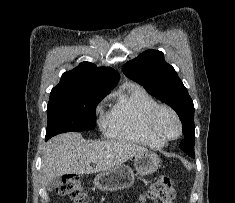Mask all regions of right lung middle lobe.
<instances>
[{"mask_svg":"<svg viewBox=\"0 0 235 203\" xmlns=\"http://www.w3.org/2000/svg\"><path fill=\"white\" fill-rule=\"evenodd\" d=\"M107 94L91 89H52L45 139L59 133L94 129L96 106Z\"/></svg>","mask_w":235,"mask_h":203,"instance_id":"1","label":"right lung middle lobe"}]
</instances>
